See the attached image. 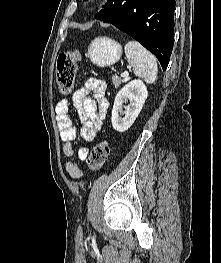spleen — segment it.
Returning a JSON list of instances; mask_svg holds the SVG:
<instances>
[{"label":"spleen","instance_id":"spleen-1","mask_svg":"<svg viewBox=\"0 0 221 263\" xmlns=\"http://www.w3.org/2000/svg\"><path fill=\"white\" fill-rule=\"evenodd\" d=\"M125 54L135 76L142 78L146 83L153 84L158 72L154 55L137 41H129L125 45Z\"/></svg>","mask_w":221,"mask_h":263}]
</instances>
